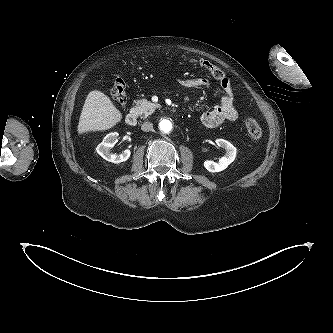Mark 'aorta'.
<instances>
[{
	"label": "aorta",
	"instance_id": "aorta-1",
	"mask_svg": "<svg viewBox=\"0 0 333 333\" xmlns=\"http://www.w3.org/2000/svg\"><path fill=\"white\" fill-rule=\"evenodd\" d=\"M159 128L162 132L169 133L172 129V123L169 120L164 119L159 123Z\"/></svg>",
	"mask_w": 333,
	"mask_h": 333
}]
</instances>
